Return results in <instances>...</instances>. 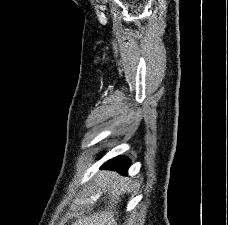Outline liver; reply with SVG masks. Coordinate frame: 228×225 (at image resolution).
I'll list each match as a JSON object with an SVG mask.
<instances>
[{"mask_svg":"<svg viewBox=\"0 0 228 225\" xmlns=\"http://www.w3.org/2000/svg\"><path fill=\"white\" fill-rule=\"evenodd\" d=\"M98 181H104V183L110 185V191L113 197H110V201H107L108 207H105L103 211L92 213L89 217H82L80 221H76L73 225H117L115 211L117 203L121 201L119 195H122L118 189L127 187V185H124L120 181V175L118 173H111V171H100ZM116 183H120V185H116Z\"/></svg>","mask_w":228,"mask_h":225,"instance_id":"1","label":"liver"}]
</instances>
